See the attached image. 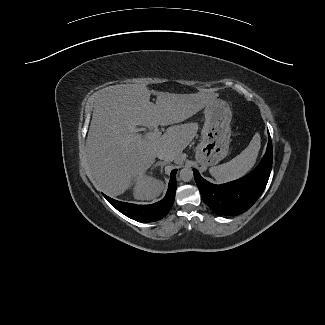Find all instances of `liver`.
<instances>
[{"label": "liver", "mask_w": 325, "mask_h": 325, "mask_svg": "<svg viewBox=\"0 0 325 325\" xmlns=\"http://www.w3.org/2000/svg\"><path fill=\"white\" fill-rule=\"evenodd\" d=\"M157 96L156 104L150 96ZM218 93L175 94L149 90L142 84L113 85L97 91L86 140L90 177L108 195L118 196L143 175L161 149L171 151L176 164L195 137L198 124L170 126L155 140L137 133V125L158 127L183 122L213 103Z\"/></svg>", "instance_id": "obj_1"}]
</instances>
